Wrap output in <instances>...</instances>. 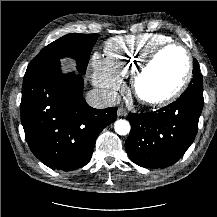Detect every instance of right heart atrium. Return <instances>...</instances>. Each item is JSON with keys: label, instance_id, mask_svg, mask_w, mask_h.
Instances as JSON below:
<instances>
[{"label": "right heart atrium", "instance_id": "d8ad5b80", "mask_svg": "<svg viewBox=\"0 0 217 217\" xmlns=\"http://www.w3.org/2000/svg\"><path fill=\"white\" fill-rule=\"evenodd\" d=\"M91 64L94 85L104 90L109 99H114L116 91L122 86V81L109 69L106 60L98 53L93 54Z\"/></svg>", "mask_w": 217, "mask_h": 217}]
</instances>
